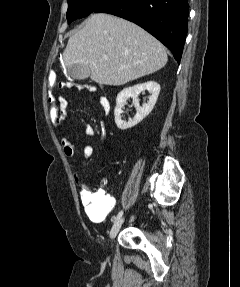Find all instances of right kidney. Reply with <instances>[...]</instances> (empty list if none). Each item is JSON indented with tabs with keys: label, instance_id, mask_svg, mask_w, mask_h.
Returning <instances> with one entry per match:
<instances>
[{
	"label": "right kidney",
	"instance_id": "1",
	"mask_svg": "<svg viewBox=\"0 0 240 287\" xmlns=\"http://www.w3.org/2000/svg\"><path fill=\"white\" fill-rule=\"evenodd\" d=\"M148 90L151 95L149 97V101L146 104H143V106H140L138 95ZM160 92V85L155 81H148L143 84H138L133 87H127L123 89L116 98V107L114 110V116H115V123L117 127L121 130H126L129 128L134 127L139 122H141L149 113L152 111L158 95ZM132 98L133 104L136 108V115L133 119H129L128 122L124 121L122 119V108L126 105L127 99Z\"/></svg>",
	"mask_w": 240,
	"mask_h": 287
}]
</instances>
